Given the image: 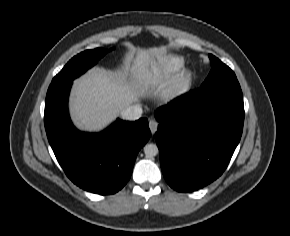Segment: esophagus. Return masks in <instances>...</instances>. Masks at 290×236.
<instances>
[{
    "mask_svg": "<svg viewBox=\"0 0 290 236\" xmlns=\"http://www.w3.org/2000/svg\"><path fill=\"white\" fill-rule=\"evenodd\" d=\"M149 128H150L151 133L154 134L157 131L158 122L153 120V119H151L149 121Z\"/></svg>",
    "mask_w": 290,
    "mask_h": 236,
    "instance_id": "obj_1",
    "label": "esophagus"
}]
</instances>
